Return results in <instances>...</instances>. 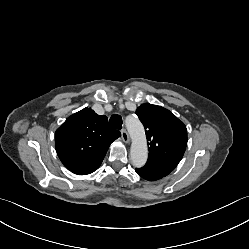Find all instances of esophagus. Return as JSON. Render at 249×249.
I'll return each mask as SVG.
<instances>
[{
  "label": "esophagus",
  "instance_id": "obj_1",
  "mask_svg": "<svg viewBox=\"0 0 249 249\" xmlns=\"http://www.w3.org/2000/svg\"><path fill=\"white\" fill-rule=\"evenodd\" d=\"M121 137H122V140L125 142V143H129L130 142V138H129V135L127 133V131L125 129H122L121 130Z\"/></svg>",
  "mask_w": 249,
  "mask_h": 249
}]
</instances>
